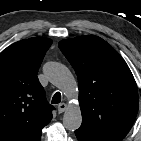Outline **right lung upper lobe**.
Listing matches in <instances>:
<instances>
[{"instance_id":"obj_1","label":"right lung upper lobe","mask_w":141,"mask_h":141,"mask_svg":"<svg viewBox=\"0 0 141 141\" xmlns=\"http://www.w3.org/2000/svg\"><path fill=\"white\" fill-rule=\"evenodd\" d=\"M52 40L24 39L0 53V141H40L52 109L37 73Z\"/></svg>"}]
</instances>
